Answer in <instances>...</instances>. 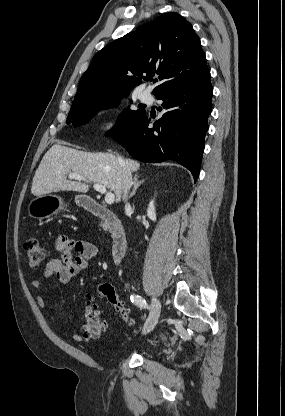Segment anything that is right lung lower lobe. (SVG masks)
Segmentation results:
<instances>
[{
  "label": "right lung lower lobe",
  "instance_id": "1",
  "mask_svg": "<svg viewBox=\"0 0 285 416\" xmlns=\"http://www.w3.org/2000/svg\"><path fill=\"white\" fill-rule=\"evenodd\" d=\"M212 93L210 74L173 88L157 97L163 100L160 111L165 113L153 128H148L150 120L145 115L113 138L142 162L177 161L191 171L196 181L212 110Z\"/></svg>",
  "mask_w": 285,
  "mask_h": 416
}]
</instances>
